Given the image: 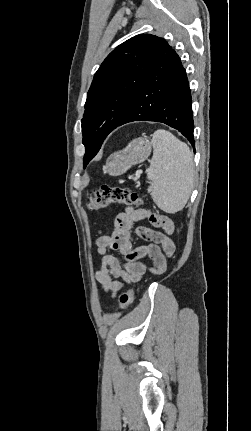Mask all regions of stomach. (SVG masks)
Segmentation results:
<instances>
[{
  "mask_svg": "<svg viewBox=\"0 0 251 431\" xmlns=\"http://www.w3.org/2000/svg\"><path fill=\"white\" fill-rule=\"evenodd\" d=\"M150 153L151 142L147 138L134 139L125 149L110 155L103 170L111 176L121 175L146 160Z\"/></svg>",
  "mask_w": 251,
  "mask_h": 431,
  "instance_id": "stomach-1",
  "label": "stomach"
}]
</instances>
